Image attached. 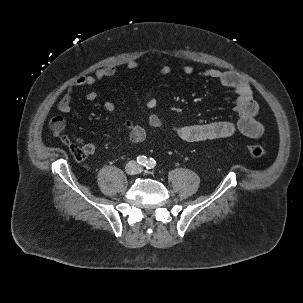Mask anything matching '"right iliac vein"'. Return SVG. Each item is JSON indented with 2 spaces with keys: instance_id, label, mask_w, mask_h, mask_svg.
Wrapping results in <instances>:
<instances>
[{
  "instance_id": "right-iliac-vein-1",
  "label": "right iliac vein",
  "mask_w": 303,
  "mask_h": 303,
  "mask_svg": "<svg viewBox=\"0 0 303 303\" xmlns=\"http://www.w3.org/2000/svg\"><path fill=\"white\" fill-rule=\"evenodd\" d=\"M126 172L128 174H133L135 172V166L134 164L130 163L127 167H126Z\"/></svg>"
}]
</instances>
